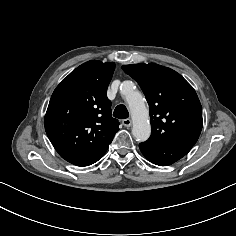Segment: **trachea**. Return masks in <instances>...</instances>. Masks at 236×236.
<instances>
[{"mask_svg": "<svg viewBox=\"0 0 236 236\" xmlns=\"http://www.w3.org/2000/svg\"><path fill=\"white\" fill-rule=\"evenodd\" d=\"M113 116L118 119H126L129 117V113H128L127 108L121 104L115 108L113 112Z\"/></svg>", "mask_w": 236, "mask_h": 236, "instance_id": "trachea-1", "label": "trachea"}]
</instances>
